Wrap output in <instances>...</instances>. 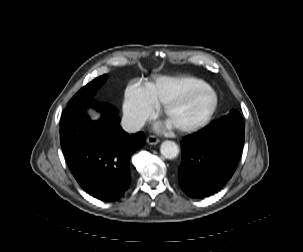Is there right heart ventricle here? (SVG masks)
Listing matches in <instances>:
<instances>
[{"instance_id":"right-heart-ventricle-1","label":"right heart ventricle","mask_w":303,"mask_h":252,"mask_svg":"<svg viewBox=\"0 0 303 252\" xmlns=\"http://www.w3.org/2000/svg\"><path fill=\"white\" fill-rule=\"evenodd\" d=\"M200 84L202 81L195 78L160 77L145 92L154 105L164 106L185 97Z\"/></svg>"}]
</instances>
